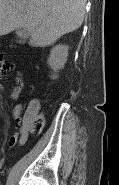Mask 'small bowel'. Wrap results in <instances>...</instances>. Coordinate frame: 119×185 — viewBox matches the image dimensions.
I'll use <instances>...</instances> for the list:
<instances>
[{"instance_id": "obj_1", "label": "small bowel", "mask_w": 119, "mask_h": 185, "mask_svg": "<svg viewBox=\"0 0 119 185\" xmlns=\"http://www.w3.org/2000/svg\"><path fill=\"white\" fill-rule=\"evenodd\" d=\"M14 68L13 64H5L2 62L1 65V77L3 78L10 70ZM24 88V82L22 78V73L20 71L17 72L15 77L14 85L12 87V91L10 93V97L12 99H17L22 90ZM39 109V104L37 102H33L29 105L28 109L22 116L23 108L21 105H16L13 111V115L17 120L19 126L16 132L10 138V145H20L23 146L29 136V122H28V114H36Z\"/></svg>"}]
</instances>
